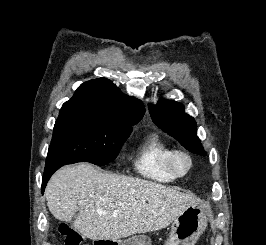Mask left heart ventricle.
<instances>
[{
  "label": "left heart ventricle",
  "mask_w": 266,
  "mask_h": 245,
  "mask_svg": "<svg viewBox=\"0 0 266 245\" xmlns=\"http://www.w3.org/2000/svg\"><path fill=\"white\" fill-rule=\"evenodd\" d=\"M180 173H184L188 168V161L185 158H180L177 163Z\"/></svg>",
  "instance_id": "obj_1"
}]
</instances>
